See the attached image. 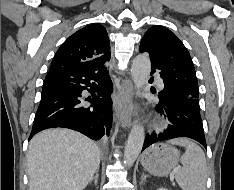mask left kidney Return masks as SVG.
<instances>
[{"label": "left kidney", "mask_w": 234, "mask_h": 190, "mask_svg": "<svg viewBox=\"0 0 234 190\" xmlns=\"http://www.w3.org/2000/svg\"><path fill=\"white\" fill-rule=\"evenodd\" d=\"M157 190H167V189H165V188H159V189H157Z\"/></svg>", "instance_id": "1"}]
</instances>
